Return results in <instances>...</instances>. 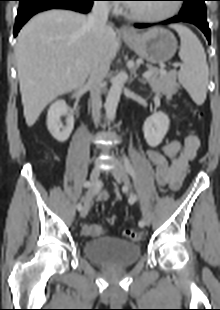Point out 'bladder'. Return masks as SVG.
<instances>
[{
    "label": "bladder",
    "mask_w": 220,
    "mask_h": 310,
    "mask_svg": "<svg viewBox=\"0 0 220 310\" xmlns=\"http://www.w3.org/2000/svg\"><path fill=\"white\" fill-rule=\"evenodd\" d=\"M83 251L91 261L102 266H129L141 256V246L116 237H103L84 242Z\"/></svg>",
    "instance_id": "obj_1"
}]
</instances>
